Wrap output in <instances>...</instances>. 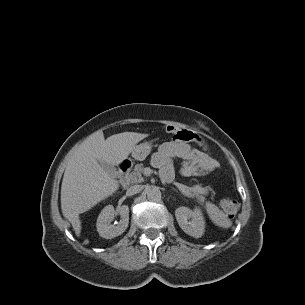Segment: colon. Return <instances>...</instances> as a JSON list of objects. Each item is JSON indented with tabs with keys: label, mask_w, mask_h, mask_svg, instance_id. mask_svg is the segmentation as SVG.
<instances>
[{
	"label": "colon",
	"mask_w": 305,
	"mask_h": 305,
	"mask_svg": "<svg viewBox=\"0 0 305 305\" xmlns=\"http://www.w3.org/2000/svg\"><path fill=\"white\" fill-rule=\"evenodd\" d=\"M165 131L169 134L175 135V138L185 137L184 130H181L180 128L174 125L166 126ZM219 207L227 217H233L239 209V202L233 197H224L220 200Z\"/></svg>",
	"instance_id": "obj_1"
}]
</instances>
